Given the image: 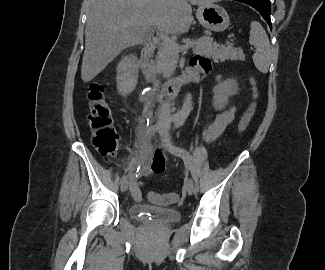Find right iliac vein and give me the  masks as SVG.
<instances>
[{"label": "right iliac vein", "instance_id": "right-iliac-vein-1", "mask_svg": "<svg viewBox=\"0 0 325 270\" xmlns=\"http://www.w3.org/2000/svg\"><path fill=\"white\" fill-rule=\"evenodd\" d=\"M162 128H163V127L159 126L157 130L160 131ZM127 188H128V181L125 180V181H123V182L121 183L120 189H121L122 192H124V191L127 190Z\"/></svg>", "mask_w": 325, "mask_h": 270}]
</instances>
